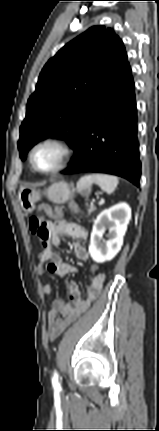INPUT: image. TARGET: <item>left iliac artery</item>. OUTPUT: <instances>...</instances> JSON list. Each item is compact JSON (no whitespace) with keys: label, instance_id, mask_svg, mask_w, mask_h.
I'll return each instance as SVG.
<instances>
[{"label":"left iliac artery","instance_id":"obj_1","mask_svg":"<svg viewBox=\"0 0 159 431\" xmlns=\"http://www.w3.org/2000/svg\"><path fill=\"white\" fill-rule=\"evenodd\" d=\"M52 384H53L54 388H59L60 387V384L58 382V374L56 372L54 373V376L52 378Z\"/></svg>","mask_w":159,"mask_h":431}]
</instances>
